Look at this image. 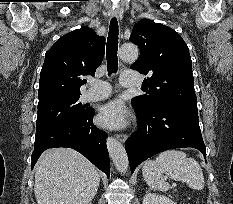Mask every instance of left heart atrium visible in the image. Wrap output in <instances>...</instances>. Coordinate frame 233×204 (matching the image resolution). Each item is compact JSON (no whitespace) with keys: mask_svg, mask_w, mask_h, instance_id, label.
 <instances>
[{"mask_svg":"<svg viewBox=\"0 0 233 204\" xmlns=\"http://www.w3.org/2000/svg\"><path fill=\"white\" fill-rule=\"evenodd\" d=\"M98 118L105 127L121 128L127 124L128 112L121 101L113 100L101 107Z\"/></svg>","mask_w":233,"mask_h":204,"instance_id":"1","label":"left heart atrium"}]
</instances>
